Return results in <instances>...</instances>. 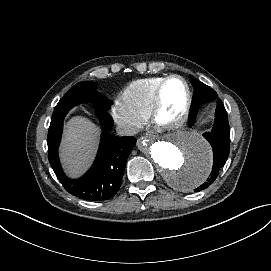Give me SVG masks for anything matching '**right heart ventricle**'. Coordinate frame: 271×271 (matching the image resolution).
Here are the masks:
<instances>
[{
  "label": "right heart ventricle",
  "mask_w": 271,
  "mask_h": 271,
  "mask_svg": "<svg viewBox=\"0 0 271 271\" xmlns=\"http://www.w3.org/2000/svg\"><path fill=\"white\" fill-rule=\"evenodd\" d=\"M166 75L148 76L130 82L120 99L129 113L141 122L152 115L154 93Z\"/></svg>",
  "instance_id": "obj_1"
}]
</instances>
